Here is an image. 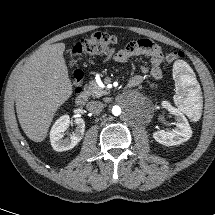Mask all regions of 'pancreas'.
Returning a JSON list of instances; mask_svg holds the SVG:
<instances>
[{"mask_svg":"<svg viewBox=\"0 0 215 215\" xmlns=\"http://www.w3.org/2000/svg\"><path fill=\"white\" fill-rule=\"evenodd\" d=\"M85 90L89 95L96 98L108 94V90L101 88L95 81H90L89 84L85 86Z\"/></svg>","mask_w":215,"mask_h":215,"instance_id":"obj_1","label":"pancreas"}]
</instances>
